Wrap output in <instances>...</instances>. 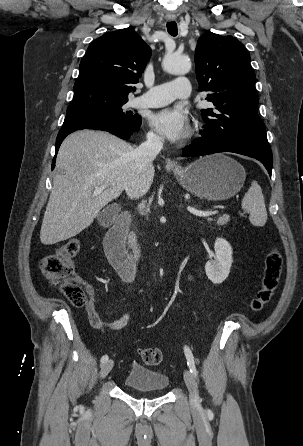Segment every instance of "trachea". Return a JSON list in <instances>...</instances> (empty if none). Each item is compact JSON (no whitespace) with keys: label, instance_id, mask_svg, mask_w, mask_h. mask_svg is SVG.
Masks as SVG:
<instances>
[{"label":"trachea","instance_id":"1","mask_svg":"<svg viewBox=\"0 0 303 446\" xmlns=\"http://www.w3.org/2000/svg\"><path fill=\"white\" fill-rule=\"evenodd\" d=\"M167 30L168 33L172 36H176L178 33V29H177V24L176 22L172 21V22H168L167 23Z\"/></svg>","mask_w":303,"mask_h":446}]
</instances>
